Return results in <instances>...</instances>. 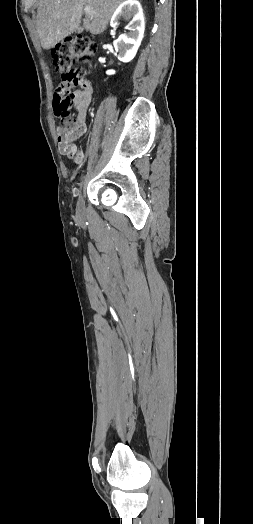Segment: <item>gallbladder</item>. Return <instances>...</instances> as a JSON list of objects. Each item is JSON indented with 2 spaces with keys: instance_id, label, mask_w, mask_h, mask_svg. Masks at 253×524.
Here are the masks:
<instances>
[{
  "instance_id": "gallbladder-1",
  "label": "gallbladder",
  "mask_w": 253,
  "mask_h": 524,
  "mask_svg": "<svg viewBox=\"0 0 253 524\" xmlns=\"http://www.w3.org/2000/svg\"><path fill=\"white\" fill-rule=\"evenodd\" d=\"M82 30H83V27L80 26V27L78 28V32H81Z\"/></svg>"
}]
</instances>
